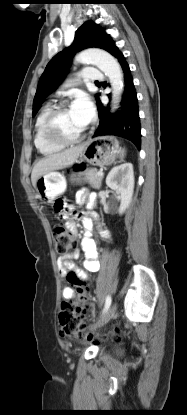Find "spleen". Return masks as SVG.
Segmentation results:
<instances>
[{"instance_id":"3e777b00","label":"spleen","mask_w":187,"mask_h":415,"mask_svg":"<svg viewBox=\"0 0 187 415\" xmlns=\"http://www.w3.org/2000/svg\"><path fill=\"white\" fill-rule=\"evenodd\" d=\"M124 156H125V149H122V150H120V152H119V157H120L121 159H123V158H124Z\"/></svg>"}]
</instances>
